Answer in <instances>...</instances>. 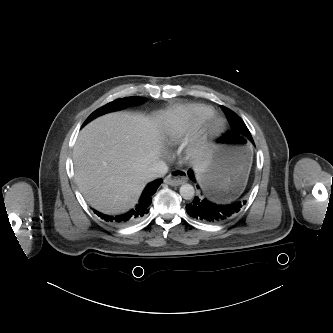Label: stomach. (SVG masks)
<instances>
[{
    "mask_svg": "<svg viewBox=\"0 0 333 333\" xmlns=\"http://www.w3.org/2000/svg\"><path fill=\"white\" fill-rule=\"evenodd\" d=\"M242 138L224 133L209 151L204 170L197 175L207 195L220 202L239 196L246 185L253 153Z\"/></svg>",
    "mask_w": 333,
    "mask_h": 333,
    "instance_id": "obj_1",
    "label": "stomach"
}]
</instances>
